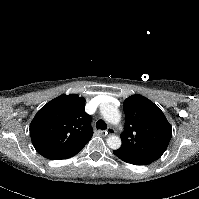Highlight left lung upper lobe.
<instances>
[{
    "instance_id": "left-lung-upper-lobe-1",
    "label": "left lung upper lobe",
    "mask_w": 199,
    "mask_h": 199,
    "mask_svg": "<svg viewBox=\"0 0 199 199\" xmlns=\"http://www.w3.org/2000/svg\"><path fill=\"white\" fill-rule=\"evenodd\" d=\"M125 126L120 152L144 159L157 160L167 149L172 127L163 112L149 99L132 95L124 102Z\"/></svg>"
}]
</instances>
